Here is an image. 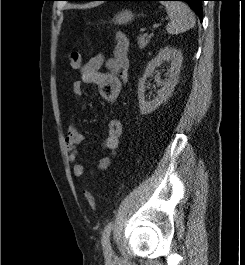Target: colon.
Masks as SVG:
<instances>
[{
	"label": "colon",
	"instance_id": "5ec220e1",
	"mask_svg": "<svg viewBox=\"0 0 245 265\" xmlns=\"http://www.w3.org/2000/svg\"><path fill=\"white\" fill-rule=\"evenodd\" d=\"M114 58L116 59L120 68V79L123 82L127 81L128 72L130 67V56H129V43L124 34L118 33L116 35V47ZM69 66L72 70L79 69L82 60V53L79 51L71 52L68 56ZM87 204L91 209L96 208V201L93 194L86 190L84 191Z\"/></svg>",
	"mask_w": 245,
	"mask_h": 265
}]
</instances>
